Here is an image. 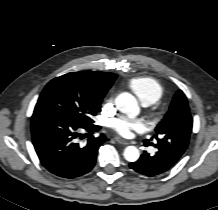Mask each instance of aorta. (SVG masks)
I'll return each instance as SVG.
<instances>
[{
  "label": "aorta",
  "mask_w": 218,
  "mask_h": 210,
  "mask_svg": "<svg viewBox=\"0 0 218 210\" xmlns=\"http://www.w3.org/2000/svg\"><path fill=\"white\" fill-rule=\"evenodd\" d=\"M118 109L127 114L130 118H134L139 114V106L136 98L129 93H122L116 99ZM124 158L129 162H135L139 159L140 153L135 146H128L124 150Z\"/></svg>",
  "instance_id": "aorta-1"
}]
</instances>
